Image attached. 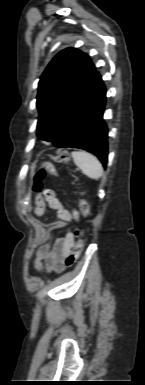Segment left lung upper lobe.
Returning a JSON list of instances; mask_svg holds the SVG:
<instances>
[{
    "label": "left lung upper lobe",
    "mask_w": 145,
    "mask_h": 385,
    "mask_svg": "<svg viewBox=\"0 0 145 385\" xmlns=\"http://www.w3.org/2000/svg\"><path fill=\"white\" fill-rule=\"evenodd\" d=\"M95 67L74 48L59 52L42 74L38 87V138L50 141L65 116L86 91Z\"/></svg>",
    "instance_id": "left-lung-upper-lobe-1"
}]
</instances>
